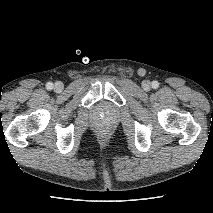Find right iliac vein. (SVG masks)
I'll use <instances>...</instances> for the list:
<instances>
[{"mask_svg":"<svg viewBox=\"0 0 213 213\" xmlns=\"http://www.w3.org/2000/svg\"><path fill=\"white\" fill-rule=\"evenodd\" d=\"M63 83L62 82H56L54 85V89L56 92H61L63 90Z\"/></svg>","mask_w":213,"mask_h":213,"instance_id":"right-iliac-vein-1","label":"right iliac vein"}]
</instances>
